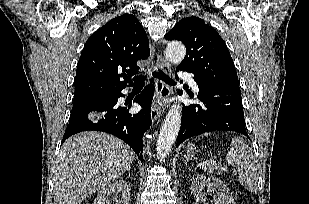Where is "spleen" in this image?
Wrapping results in <instances>:
<instances>
[{"label":"spleen","mask_w":309,"mask_h":204,"mask_svg":"<svg viewBox=\"0 0 309 204\" xmlns=\"http://www.w3.org/2000/svg\"><path fill=\"white\" fill-rule=\"evenodd\" d=\"M208 135L210 133L204 134V136ZM226 161L236 167L240 184L251 193H255L259 173L255 157L244 139L241 137L232 139L230 149L226 154Z\"/></svg>","instance_id":"spleen-1"}]
</instances>
